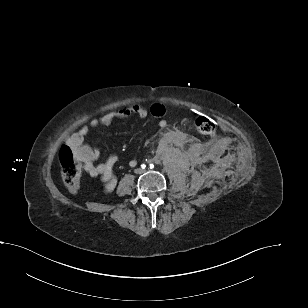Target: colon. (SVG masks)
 Masks as SVG:
<instances>
[{
    "label": "colon",
    "mask_w": 308,
    "mask_h": 308,
    "mask_svg": "<svg viewBox=\"0 0 308 308\" xmlns=\"http://www.w3.org/2000/svg\"><path fill=\"white\" fill-rule=\"evenodd\" d=\"M195 127L200 133L205 135L215 136L217 134L216 123L208 116L197 117L195 119ZM58 158L65 186L69 191L76 193L79 190L82 173V166L79 160L68 145L61 147Z\"/></svg>",
    "instance_id": "colon-1"
}]
</instances>
